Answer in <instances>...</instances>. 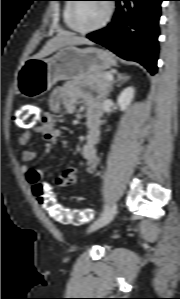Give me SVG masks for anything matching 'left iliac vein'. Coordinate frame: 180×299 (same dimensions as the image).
Listing matches in <instances>:
<instances>
[{
	"label": "left iliac vein",
	"mask_w": 180,
	"mask_h": 299,
	"mask_svg": "<svg viewBox=\"0 0 180 299\" xmlns=\"http://www.w3.org/2000/svg\"><path fill=\"white\" fill-rule=\"evenodd\" d=\"M117 213V204L114 203L100 218H98L89 228V231L98 230L110 223Z\"/></svg>",
	"instance_id": "left-iliac-vein-1"
}]
</instances>
